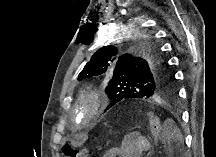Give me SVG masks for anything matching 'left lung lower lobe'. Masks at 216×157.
Wrapping results in <instances>:
<instances>
[{
	"label": "left lung lower lobe",
	"mask_w": 216,
	"mask_h": 157,
	"mask_svg": "<svg viewBox=\"0 0 216 157\" xmlns=\"http://www.w3.org/2000/svg\"><path fill=\"white\" fill-rule=\"evenodd\" d=\"M114 104H115V103H114ZM112 105H113V104H110L109 107L112 106Z\"/></svg>",
	"instance_id": "left-lung-lower-lobe-1"
}]
</instances>
